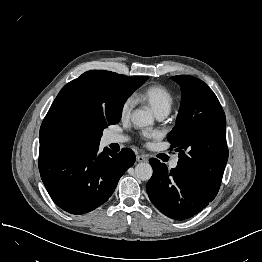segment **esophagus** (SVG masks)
Segmentation results:
<instances>
[{"label":"esophagus","mask_w":262,"mask_h":262,"mask_svg":"<svg viewBox=\"0 0 262 262\" xmlns=\"http://www.w3.org/2000/svg\"><path fill=\"white\" fill-rule=\"evenodd\" d=\"M136 161H137V162H147V161H148V158H147V156H145V155H137V156H136Z\"/></svg>","instance_id":"obj_1"}]
</instances>
